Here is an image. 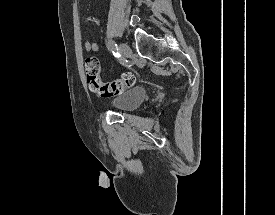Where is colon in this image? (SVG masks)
<instances>
[{
    "mask_svg": "<svg viewBox=\"0 0 275 215\" xmlns=\"http://www.w3.org/2000/svg\"><path fill=\"white\" fill-rule=\"evenodd\" d=\"M84 68L90 89L104 98L116 96L135 84V75L131 72L123 73L112 81H103L100 77V64L96 56L85 58Z\"/></svg>",
    "mask_w": 275,
    "mask_h": 215,
    "instance_id": "5ec220e1",
    "label": "colon"
}]
</instances>
